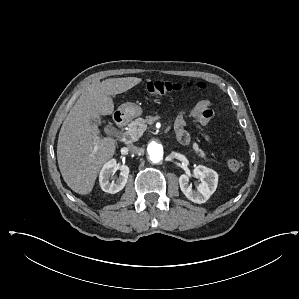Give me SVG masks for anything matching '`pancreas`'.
<instances>
[{"label":"pancreas","mask_w":299,"mask_h":299,"mask_svg":"<svg viewBox=\"0 0 299 299\" xmlns=\"http://www.w3.org/2000/svg\"><path fill=\"white\" fill-rule=\"evenodd\" d=\"M146 120L143 118H137L134 121H132L127 128V131L125 132V137L128 142H135L137 141L146 130ZM193 149L195 153L206 160V154L204 151L199 148L197 143L193 144Z\"/></svg>","instance_id":"pancreas-1"}]
</instances>
